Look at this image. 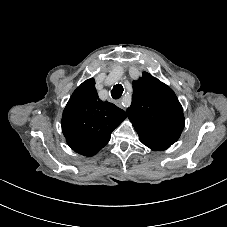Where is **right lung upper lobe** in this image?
<instances>
[{"label":"right lung upper lobe","mask_w":227,"mask_h":227,"mask_svg":"<svg viewBox=\"0 0 227 227\" xmlns=\"http://www.w3.org/2000/svg\"><path fill=\"white\" fill-rule=\"evenodd\" d=\"M126 113L99 99L93 78L83 82L70 97L61 120L62 132L75 152L90 157L110 140Z\"/></svg>","instance_id":"obj_1"}]
</instances>
